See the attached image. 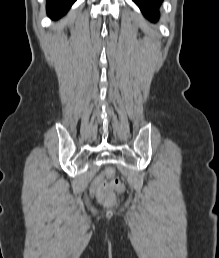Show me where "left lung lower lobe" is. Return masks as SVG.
Returning a JSON list of instances; mask_svg holds the SVG:
<instances>
[{
  "mask_svg": "<svg viewBox=\"0 0 219 258\" xmlns=\"http://www.w3.org/2000/svg\"><path fill=\"white\" fill-rule=\"evenodd\" d=\"M141 9L143 14L152 21L159 17L158 7L163 0H133Z\"/></svg>",
  "mask_w": 219,
  "mask_h": 258,
  "instance_id": "0a47b994",
  "label": "left lung lower lobe"
}]
</instances>
